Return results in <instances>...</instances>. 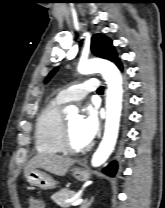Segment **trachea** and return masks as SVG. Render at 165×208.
Here are the masks:
<instances>
[{
    "mask_svg": "<svg viewBox=\"0 0 165 208\" xmlns=\"http://www.w3.org/2000/svg\"><path fill=\"white\" fill-rule=\"evenodd\" d=\"M103 90H104V88L101 86L99 89H98V93H102L103 92Z\"/></svg>",
    "mask_w": 165,
    "mask_h": 208,
    "instance_id": "3493384b",
    "label": "trachea"
}]
</instances>
